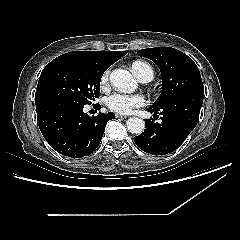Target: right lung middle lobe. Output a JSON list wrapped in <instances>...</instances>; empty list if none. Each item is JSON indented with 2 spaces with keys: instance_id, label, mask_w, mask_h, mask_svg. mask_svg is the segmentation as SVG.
Returning a JSON list of instances; mask_svg holds the SVG:
<instances>
[{
  "instance_id": "right-lung-middle-lobe-1",
  "label": "right lung middle lobe",
  "mask_w": 240,
  "mask_h": 240,
  "mask_svg": "<svg viewBox=\"0 0 240 240\" xmlns=\"http://www.w3.org/2000/svg\"><path fill=\"white\" fill-rule=\"evenodd\" d=\"M105 69L90 60L63 54L42 71L35 93V104L62 99L80 105L91 104L99 97L100 80Z\"/></svg>"
}]
</instances>
